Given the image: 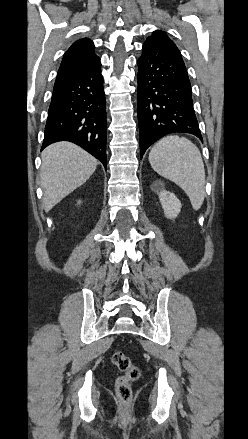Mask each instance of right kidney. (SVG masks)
<instances>
[{"label": "right kidney", "instance_id": "right-kidney-1", "mask_svg": "<svg viewBox=\"0 0 248 439\" xmlns=\"http://www.w3.org/2000/svg\"><path fill=\"white\" fill-rule=\"evenodd\" d=\"M81 203V201H78V204H80Z\"/></svg>", "mask_w": 248, "mask_h": 439}]
</instances>
